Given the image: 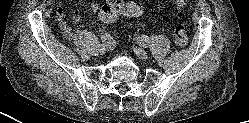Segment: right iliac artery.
Returning <instances> with one entry per match:
<instances>
[{
	"mask_svg": "<svg viewBox=\"0 0 249 123\" xmlns=\"http://www.w3.org/2000/svg\"><path fill=\"white\" fill-rule=\"evenodd\" d=\"M101 39H102V42L105 43V44H110L111 41H112V38L109 34L107 33H103L102 36H101Z\"/></svg>",
	"mask_w": 249,
	"mask_h": 123,
	"instance_id": "obj_1",
	"label": "right iliac artery"
}]
</instances>
